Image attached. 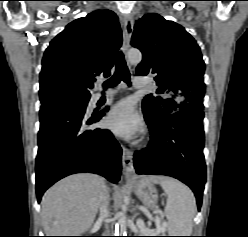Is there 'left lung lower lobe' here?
I'll use <instances>...</instances> for the list:
<instances>
[{
    "label": "left lung lower lobe",
    "instance_id": "left-lung-lower-lobe-1",
    "mask_svg": "<svg viewBox=\"0 0 248 237\" xmlns=\"http://www.w3.org/2000/svg\"><path fill=\"white\" fill-rule=\"evenodd\" d=\"M144 117L152 136L148 147L134 154L136 172L177 178L193 190L200 209L206 181L203 111L179 110L161 125Z\"/></svg>",
    "mask_w": 248,
    "mask_h": 237
}]
</instances>
